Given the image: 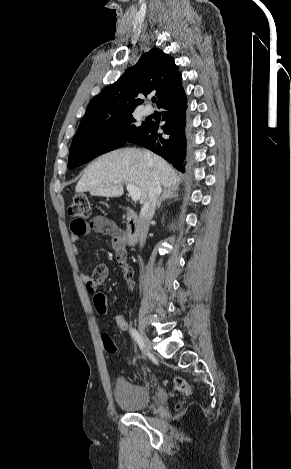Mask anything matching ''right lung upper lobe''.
<instances>
[{"label": "right lung upper lobe", "instance_id": "right-lung-upper-lobe-1", "mask_svg": "<svg viewBox=\"0 0 291 469\" xmlns=\"http://www.w3.org/2000/svg\"><path fill=\"white\" fill-rule=\"evenodd\" d=\"M180 89L182 76L178 66L168 54L154 48L90 101L82 121L133 112L143 102L139 95L146 96L153 90H156L158 105Z\"/></svg>", "mask_w": 291, "mask_h": 469}]
</instances>
